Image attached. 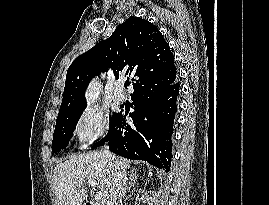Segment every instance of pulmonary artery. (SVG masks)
Masks as SVG:
<instances>
[{"instance_id":"pulmonary-artery-1","label":"pulmonary artery","mask_w":269,"mask_h":205,"mask_svg":"<svg viewBox=\"0 0 269 205\" xmlns=\"http://www.w3.org/2000/svg\"><path fill=\"white\" fill-rule=\"evenodd\" d=\"M125 100H126V95L123 91V86L121 83H119L114 93V101L118 104H122L125 102Z\"/></svg>"}]
</instances>
